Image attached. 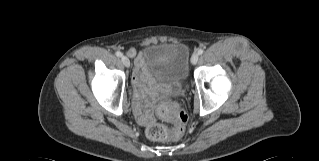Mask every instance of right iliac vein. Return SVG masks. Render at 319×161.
<instances>
[{
  "label": "right iliac vein",
  "mask_w": 319,
  "mask_h": 161,
  "mask_svg": "<svg viewBox=\"0 0 319 161\" xmlns=\"http://www.w3.org/2000/svg\"><path fill=\"white\" fill-rule=\"evenodd\" d=\"M121 61H122V63H123V65L125 66V67H130V60H129V58H127L126 56H122L121 57Z\"/></svg>",
  "instance_id": "1"
}]
</instances>
